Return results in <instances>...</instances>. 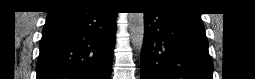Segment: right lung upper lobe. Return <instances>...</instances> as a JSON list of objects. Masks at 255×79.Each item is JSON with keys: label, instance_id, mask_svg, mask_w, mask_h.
I'll return each mask as SVG.
<instances>
[{"label": "right lung upper lobe", "instance_id": "obj_1", "mask_svg": "<svg viewBox=\"0 0 255 79\" xmlns=\"http://www.w3.org/2000/svg\"><path fill=\"white\" fill-rule=\"evenodd\" d=\"M86 2L90 1H84V0H60L56 2V5L53 7L54 9L66 7V6H73V5H80Z\"/></svg>", "mask_w": 255, "mask_h": 79}]
</instances>
